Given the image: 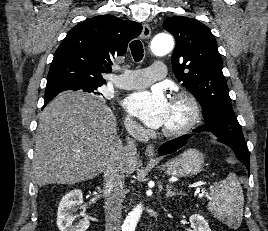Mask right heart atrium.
<instances>
[{"label":"right heart atrium","mask_w":268,"mask_h":231,"mask_svg":"<svg viewBox=\"0 0 268 231\" xmlns=\"http://www.w3.org/2000/svg\"><path fill=\"white\" fill-rule=\"evenodd\" d=\"M125 124L129 129H138L139 128V125L131 117H126Z\"/></svg>","instance_id":"right-heart-atrium-1"}]
</instances>
